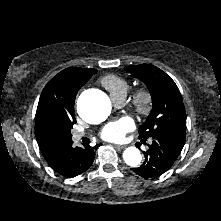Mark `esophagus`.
I'll return each mask as SVG.
<instances>
[{"label": "esophagus", "instance_id": "obj_1", "mask_svg": "<svg viewBox=\"0 0 221 221\" xmlns=\"http://www.w3.org/2000/svg\"><path fill=\"white\" fill-rule=\"evenodd\" d=\"M114 147L118 148V149H123L124 146L123 145H113Z\"/></svg>", "mask_w": 221, "mask_h": 221}]
</instances>
